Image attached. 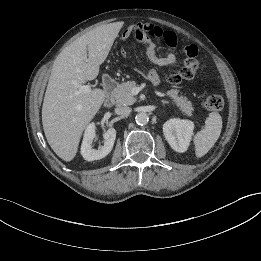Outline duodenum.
Instances as JSON below:
<instances>
[{"instance_id": "duodenum-1", "label": "duodenum", "mask_w": 261, "mask_h": 261, "mask_svg": "<svg viewBox=\"0 0 261 261\" xmlns=\"http://www.w3.org/2000/svg\"><path fill=\"white\" fill-rule=\"evenodd\" d=\"M117 87L116 80L110 75H105L103 77V89L106 92V106H112L115 100V90Z\"/></svg>"}]
</instances>
